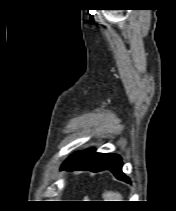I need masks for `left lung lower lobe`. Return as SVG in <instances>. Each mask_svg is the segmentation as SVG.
Returning <instances> with one entry per match:
<instances>
[{"mask_svg": "<svg viewBox=\"0 0 176 211\" xmlns=\"http://www.w3.org/2000/svg\"><path fill=\"white\" fill-rule=\"evenodd\" d=\"M61 169L67 170H90L98 172L110 170L119 180L130 182L122 172V160L116 154L96 153L94 149H87L83 154H75L65 161Z\"/></svg>", "mask_w": 176, "mask_h": 211, "instance_id": "left-lung-lower-lobe-1", "label": "left lung lower lobe"}]
</instances>
